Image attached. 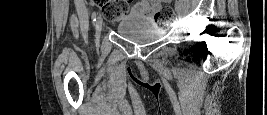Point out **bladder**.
I'll list each match as a JSON object with an SVG mask.
<instances>
[{"instance_id": "obj_1", "label": "bladder", "mask_w": 267, "mask_h": 115, "mask_svg": "<svg viewBox=\"0 0 267 115\" xmlns=\"http://www.w3.org/2000/svg\"><path fill=\"white\" fill-rule=\"evenodd\" d=\"M116 32L119 36L135 42L157 40L165 35L161 27L150 23H123L117 26Z\"/></svg>"}]
</instances>
